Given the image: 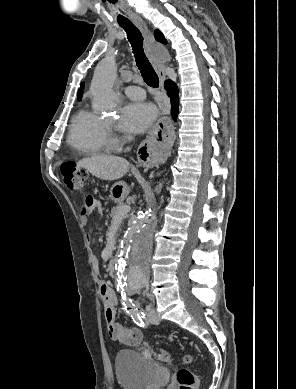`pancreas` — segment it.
Returning a JSON list of instances; mask_svg holds the SVG:
<instances>
[{
    "mask_svg": "<svg viewBox=\"0 0 296 389\" xmlns=\"http://www.w3.org/2000/svg\"><path fill=\"white\" fill-rule=\"evenodd\" d=\"M125 204L123 202H120L118 203V205L116 207H113L112 210H111V214H110V217L112 219H114L116 217V213L117 211L122 207L124 206Z\"/></svg>",
    "mask_w": 296,
    "mask_h": 389,
    "instance_id": "cf45deb5",
    "label": "pancreas"
}]
</instances>
